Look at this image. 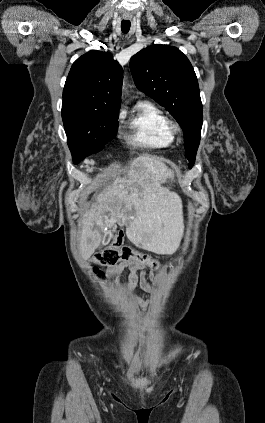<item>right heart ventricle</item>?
I'll return each instance as SVG.
<instances>
[{"label": "right heart ventricle", "mask_w": 265, "mask_h": 423, "mask_svg": "<svg viewBox=\"0 0 265 423\" xmlns=\"http://www.w3.org/2000/svg\"><path fill=\"white\" fill-rule=\"evenodd\" d=\"M168 119L161 109L147 101H140L129 123V143L149 148H167L174 143V136L167 127Z\"/></svg>", "instance_id": "obj_1"}]
</instances>
